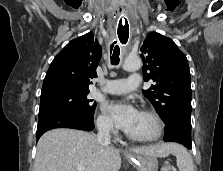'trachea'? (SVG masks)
Returning <instances> with one entry per match:
<instances>
[{
  "mask_svg": "<svg viewBox=\"0 0 223 171\" xmlns=\"http://www.w3.org/2000/svg\"><path fill=\"white\" fill-rule=\"evenodd\" d=\"M110 53H112V56L110 57L111 58V64L112 65H118L119 61H120V58H119L120 48H119V46L116 45L115 47H113V45H112L110 47Z\"/></svg>",
  "mask_w": 223,
  "mask_h": 171,
  "instance_id": "1",
  "label": "trachea"
}]
</instances>
